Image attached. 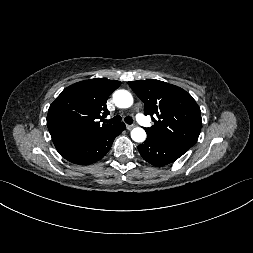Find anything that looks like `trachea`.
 I'll return each instance as SVG.
<instances>
[{
  "label": "trachea",
  "instance_id": "1",
  "mask_svg": "<svg viewBox=\"0 0 253 253\" xmlns=\"http://www.w3.org/2000/svg\"><path fill=\"white\" fill-rule=\"evenodd\" d=\"M121 120H122L121 116L117 115V116L113 117V118L110 119V120H106V123L115 124V123L121 122ZM124 121H125L127 124H132V123H133V119H132V117H130V116L125 117Z\"/></svg>",
  "mask_w": 253,
  "mask_h": 253
}]
</instances>
